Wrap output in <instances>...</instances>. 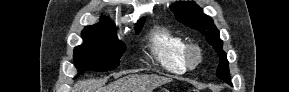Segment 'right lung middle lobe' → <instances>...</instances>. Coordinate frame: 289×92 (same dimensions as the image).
<instances>
[{
	"mask_svg": "<svg viewBox=\"0 0 289 92\" xmlns=\"http://www.w3.org/2000/svg\"><path fill=\"white\" fill-rule=\"evenodd\" d=\"M143 24L136 27L137 34ZM81 37L84 43L74 49V63L79 74L87 70L110 71L119 66L126 47L117 39L115 31L84 29Z\"/></svg>",
	"mask_w": 289,
	"mask_h": 92,
	"instance_id": "dd1d6c3e",
	"label": "right lung middle lobe"
}]
</instances>
